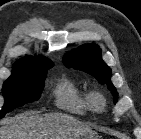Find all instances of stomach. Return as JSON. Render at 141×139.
<instances>
[{"mask_svg": "<svg viewBox=\"0 0 141 139\" xmlns=\"http://www.w3.org/2000/svg\"><path fill=\"white\" fill-rule=\"evenodd\" d=\"M75 139H99V136H97L95 133L91 131L88 133L81 134L77 136Z\"/></svg>", "mask_w": 141, "mask_h": 139, "instance_id": "1", "label": "stomach"}]
</instances>
